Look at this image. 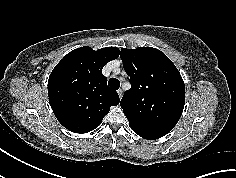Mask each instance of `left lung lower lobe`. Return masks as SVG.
I'll return each mask as SVG.
<instances>
[{"instance_id": "obj_1", "label": "left lung lower lobe", "mask_w": 236, "mask_h": 178, "mask_svg": "<svg viewBox=\"0 0 236 178\" xmlns=\"http://www.w3.org/2000/svg\"><path fill=\"white\" fill-rule=\"evenodd\" d=\"M137 134H138L139 136L145 138V139H150V140L160 138V137H157V136H154V135H146V134H142V133H137Z\"/></svg>"}]
</instances>
